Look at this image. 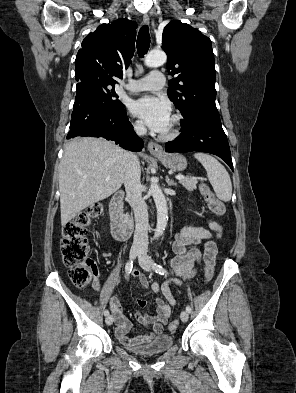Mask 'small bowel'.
Returning a JSON list of instances; mask_svg holds the SVG:
<instances>
[{
    "label": "small bowel",
    "mask_w": 296,
    "mask_h": 393,
    "mask_svg": "<svg viewBox=\"0 0 296 393\" xmlns=\"http://www.w3.org/2000/svg\"><path fill=\"white\" fill-rule=\"evenodd\" d=\"M222 226L216 221L208 220L207 228L204 227H186L176 234L172 249L176 253L170 261L173 272L180 278H172L162 284L153 282L151 289L155 293H161L162 297L156 298V314H141L134 310L136 320L143 326H151V331L143 335L129 337L132 328L130 320L123 314L120 302L117 297L111 296L108 304L115 320V334L118 340L126 346H134L148 343L153 337L162 332L163 326L168 322L171 314V308L176 305V300L171 292L170 284H182L185 279L192 277L196 272V265L201 262L202 252L199 245L204 242L203 259L204 262L214 264L217 248L212 240L214 232H221ZM132 275L138 279L140 284L147 288L149 281L146 275L138 269H134ZM97 290H101L98 284L95 285ZM137 304L141 308H146L147 301L138 299Z\"/></svg>",
    "instance_id": "small-bowel-1"
}]
</instances>
